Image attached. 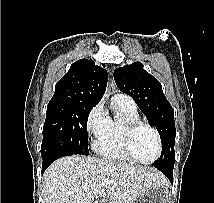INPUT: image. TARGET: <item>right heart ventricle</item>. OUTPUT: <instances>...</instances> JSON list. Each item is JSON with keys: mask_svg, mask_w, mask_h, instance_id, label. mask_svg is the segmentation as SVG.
Wrapping results in <instances>:
<instances>
[{"mask_svg": "<svg viewBox=\"0 0 214 203\" xmlns=\"http://www.w3.org/2000/svg\"><path fill=\"white\" fill-rule=\"evenodd\" d=\"M113 105L120 116L109 118L105 131L94 142V149L110 160L133 162L124 150L123 132L129 122L140 120L137 107L116 96L113 98Z\"/></svg>", "mask_w": 214, "mask_h": 203, "instance_id": "right-heart-ventricle-1", "label": "right heart ventricle"}]
</instances>
